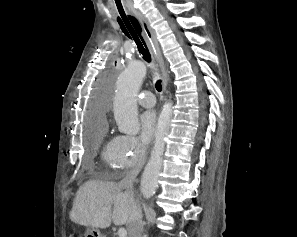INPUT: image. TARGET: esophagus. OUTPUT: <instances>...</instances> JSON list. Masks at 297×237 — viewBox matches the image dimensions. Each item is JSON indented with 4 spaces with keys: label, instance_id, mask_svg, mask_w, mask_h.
Here are the masks:
<instances>
[{
    "label": "esophagus",
    "instance_id": "obj_1",
    "mask_svg": "<svg viewBox=\"0 0 297 237\" xmlns=\"http://www.w3.org/2000/svg\"><path fill=\"white\" fill-rule=\"evenodd\" d=\"M135 17L139 21L142 30L143 35L145 37L146 43L148 45V48L150 52L152 53L156 65L159 68L161 75H162V82H163V92H166L167 90V84H168V74L166 71V67L164 64V60L160 51V47L156 38V34L154 30L151 28L148 20L140 13L135 14Z\"/></svg>",
    "mask_w": 297,
    "mask_h": 237
}]
</instances>
